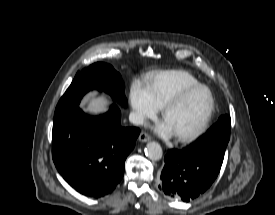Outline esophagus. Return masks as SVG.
Listing matches in <instances>:
<instances>
[{"label":"esophagus","mask_w":275,"mask_h":215,"mask_svg":"<svg viewBox=\"0 0 275 215\" xmlns=\"http://www.w3.org/2000/svg\"><path fill=\"white\" fill-rule=\"evenodd\" d=\"M151 137L146 132H141L139 135V141L141 142H148Z\"/></svg>","instance_id":"1"}]
</instances>
